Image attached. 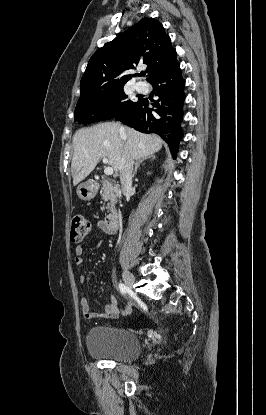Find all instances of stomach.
I'll return each instance as SVG.
<instances>
[{
    "label": "stomach",
    "mask_w": 266,
    "mask_h": 415,
    "mask_svg": "<svg viewBox=\"0 0 266 415\" xmlns=\"http://www.w3.org/2000/svg\"><path fill=\"white\" fill-rule=\"evenodd\" d=\"M96 193H97V187L91 181L81 183L77 187V195L81 200H84V201H89L93 199Z\"/></svg>",
    "instance_id": "1"
}]
</instances>
